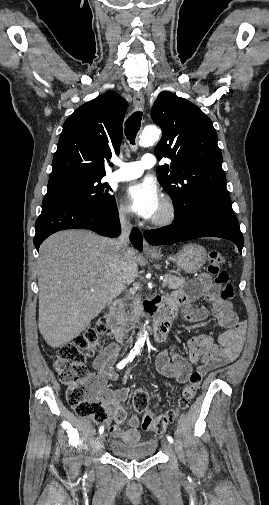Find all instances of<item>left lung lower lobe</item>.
Instances as JSON below:
<instances>
[{
  "label": "left lung lower lobe",
  "mask_w": 269,
  "mask_h": 505,
  "mask_svg": "<svg viewBox=\"0 0 269 505\" xmlns=\"http://www.w3.org/2000/svg\"><path fill=\"white\" fill-rule=\"evenodd\" d=\"M151 245L177 243L200 237H220L235 243L242 252L244 240L237 218L230 204H210L185 222L174 220L172 225L146 231Z\"/></svg>",
  "instance_id": "left-lung-lower-lobe-1"
}]
</instances>
